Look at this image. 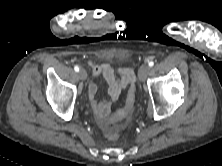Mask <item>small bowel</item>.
Instances as JSON below:
<instances>
[{
  "label": "small bowel",
  "instance_id": "obj_1",
  "mask_svg": "<svg viewBox=\"0 0 222 166\" xmlns=\"http://www.w3.org/2000/svg\"><path fill=\"white\" fill-rule=\"evenodd\" d=\"M89 66L95 77L102 75L108 84V100H99L97 98L98 86L95 79L90 81L88 89L93 111L107 133L110 130V128H108V115L111 111L112 104L119 99L124 89L135 82V73L131 67H121L115 70L108 63H89Z\"/></svg>",
  "mask_w": 222,
  "mask_h": 166
}]
</instances>
